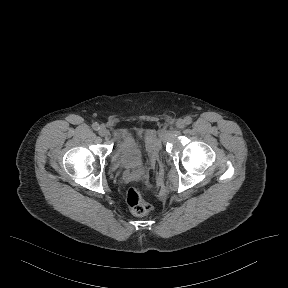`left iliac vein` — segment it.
I'll return each mask as SVG.
<instances>
[{
    "mask_svg": "<svg viewBox=\"0 0 288 288\" xmlns=\"http://www.w3.org/2000/svg\"><path fill=\"white\" fill-rule=\"evenodd\" d=\"M185 121L183 119H178L176 122V127L178 129H183L185 127Z\"/></svg>",
    "mask_w": 288,
    "mask_h": 288,
    "instance_id": "obj_1",
    "label": "left iliac vein"
}]
</instances>
